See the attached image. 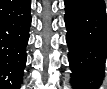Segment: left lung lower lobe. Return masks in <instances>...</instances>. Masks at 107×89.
I'll return each instance as SVG.
<instances>
[{"instance_id": "left-lung-lower-lobe-1", "label": "left lung lower lobe", "mask_w": 107, "mask_h": 89, "mask_svg": "<svg viewBox=\"0 0 107 89\" xmlns=\"http://www.w3.org/2000/svg\"><path fill=\"white\" fill-rule=\"evenodd\" d=\"M65 24L71 83L81 89H97L102 84L106 62V3L65 0Z\"/></svg>"}]
</instances>
